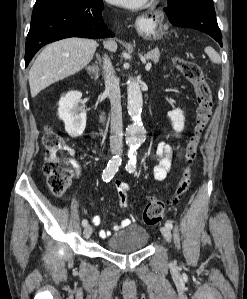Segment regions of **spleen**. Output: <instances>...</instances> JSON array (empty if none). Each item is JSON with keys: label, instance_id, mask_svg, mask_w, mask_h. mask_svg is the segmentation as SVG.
<instances>
[{"label": "spleen", "instance_id": "3e777b00", "mask_svg": "<svg viewBox=\"0 0 247 299\" xmlns=\"http://www.w3.org/2000/svg\"><path fill=\"white\" fill-rule=\"evenodd\" d=\"M204 51L209 56V58L213 63L221 62L219 54L211 46L205 47Z\"/></svg>", "mask_w": 247, "mask_h": 299}]
</instances>
